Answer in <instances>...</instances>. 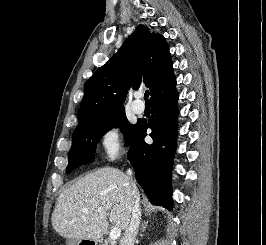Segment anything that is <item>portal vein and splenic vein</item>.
Segmentation results:
<instances>
[{
	"label": "portal vein and splenic vein",
	"mask_w": 266,
	"mask_h": 245,
	"mask_svg": "<svg viewBox=\"0 0 266 245\" xmlns=\"http://www.w3.org/2000/svg\"><path fill=\"white\" fill-rule=\"evenodd\" d=\"M98 211H102L101 207L98 209ZM83 213H87V209H83ZM121 235V229H118V227H114V229H111V233L109 235L111 241H116V239H119Z\"/></svg>",
	"instance_id": "portal-vein-and-splenic-vein-1"
}]
</instances>
